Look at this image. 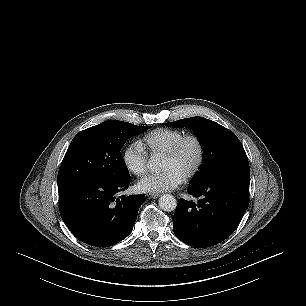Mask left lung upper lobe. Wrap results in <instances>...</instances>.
Returning a JSON list of instances; mask_svg holds the SVG:
<instances>
[{
	"label": "left lung upper lobe",
	"mask_w": 306,
	"mask_h": 306,
	"mask_svg": "<svg viewBox=\"0 0 306 306\" xmlns=\"http://www.w3.org/2000/svg\"><path fill=\"white\" fill-rule=\"evenodd\" d=\"M195 131L203 149V164L191 184L228 173H250L244 148L229 129L203 117L180 119L165 124Z\"/></svg>",
	"instance_id": "left-lung-upper-lobe-1"
}]
</instances>
